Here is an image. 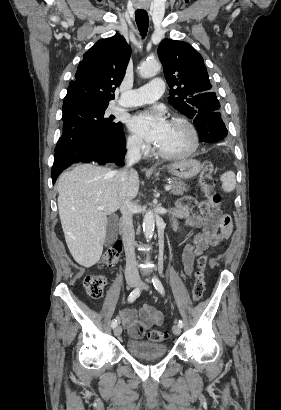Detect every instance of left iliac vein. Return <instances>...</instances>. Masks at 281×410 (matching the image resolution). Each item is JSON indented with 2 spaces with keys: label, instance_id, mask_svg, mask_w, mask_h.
<instances>
[{
  "label": "left iliac vein",
  "instance_id": "left-iliac-vein-1",
  "mask_svg": "<svg viewBox=\"0 0 281 410\" xmlns=\"http://www.w3.org/2000/svg\"><path fill=\"white\" fill-rule=\"evenodd\" d=\"M142 289L148 290L149 286L147 284H141L139 285ZM173 333L177 336L180 335L181 333V327L178 324H175L172 328Z\"/></svg>",
  "mask_w": 281,
  "mask_h": 410
}]
</instances>
